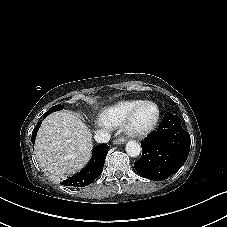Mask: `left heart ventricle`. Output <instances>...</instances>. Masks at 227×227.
<instances>
[{"mask_svg": "<svg viewBox=\"0 0 227 227\" xmlns=\"http://www.w3.org/2000/svg\"><path fill=\"white\" fill-rule=\"evenodd\" d=\"M156 116V108L152 105L142 106L134 118V125L138 127H144L149 125Z\"/></svg>", "mask_w": 227, "mask_h": 227, "instance_id": "obj_1", "label": "left heart ventricle"}]
</instances>
